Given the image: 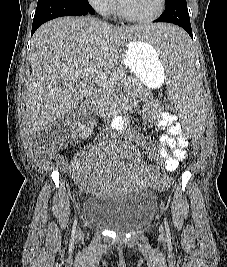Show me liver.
<instances>
[{"label":"liver","instance_id":"1","mask_svg":"<svg viewBox=\"0 0 227 267\" xmlns=\"http://www.w3.org/2000/svg\"><path fill=\"white\" fill-rule=\"evenodd\" d=\"M130 26H113L92 17H62L42 25L31 41L32 73L26 91V125L30 134L75 108L87 93L85 80L70 71L114 68L118 46Z\"/></svg>","mask_w":227,"mask_h":267}]
</instances>
